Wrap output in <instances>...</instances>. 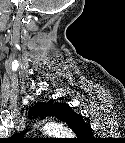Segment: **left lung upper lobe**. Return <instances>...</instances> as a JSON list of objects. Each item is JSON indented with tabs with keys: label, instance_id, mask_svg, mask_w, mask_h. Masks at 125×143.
Here are the masks:
<instances>
[{
	"label": "left lung upper lobe",
	"instance_id": "1",
	"mask_svg": "<svg viewBox=\"0 0 125 143\" xmlns=\"http://www.w3.org/2000/svg\"><path fill=\"white\" fill-rule=\"evenodd\" d=\"M66 105L67 104L65 103H54L53 100H50L48 103L39 102L30 109L29 115L39 116L41 119L56 117L57 119L64 121ZM70 128L78 137L82 136V134L86 135L92 130L87 124H85L84 120L73 124ZM22 134L23 133L15 134L11 138H22Z\"/></svg>",
	"mask_w": 125,
	"mask_h": 143
}]
</instances>
